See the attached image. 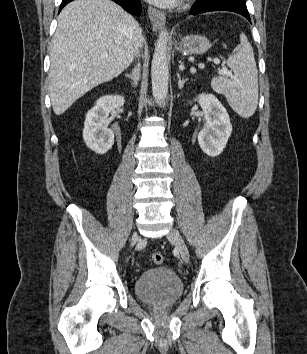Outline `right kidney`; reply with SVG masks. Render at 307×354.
<instances>
[{"label": "right kidney", "instance_id": "right-kidney-1", "mask_svg": "<svg viewBox=\"0 0 307 354\" xmlns=\"http://www.w3.org/2000/svg\"><path fill=\"white\" fill-rule=\"evenodd\" d=\"M125 99L121 95H105L86 114L83 139L88 148L96 154H105L114 144V133L106 126L109 113L122 107Z\"/></svg>", "mask_w": 307, "mask_h": 354}]
</instances>
